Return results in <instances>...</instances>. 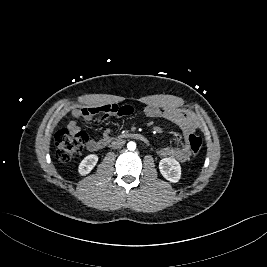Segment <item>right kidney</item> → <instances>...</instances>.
Here are the masks:
<instances>
[{
	"label": "right kidney",
	"instance_id": "1",
	"mask_svg": "<svg viewBox=\"0 0 267 267\" xmlns=\"http://www.w3.org/2000/svg\"><path fill=\"white\" fill-rule=\"evenodd\" d=\"M98 162V156L96 154H90L86 156L78 167L80 175L89 174Z\"/></svg>",
	"mask_w": 267,
	"mask_h": 267
}]
</instances>
